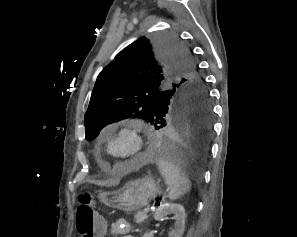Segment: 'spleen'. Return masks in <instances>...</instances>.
<instances>
[{
	"instance_id": "3e777b00",
	"label": "spleen",
	"mask_w": 297,
	"mask_h": 237,
	"mask_svg": "<svg viewBox=\"0 0 297 237\" xmlns=\"http://www.w3.org/2000/svg\"><path fill=\"white\" fill-rule=\"evenodd\" d=\"M157 165L160 174L165 179V183L170 187V192L168 194L170 200H177L190 191V180L182 169L173 161L159 159Z\"/></svg>"
}]
</instances>
